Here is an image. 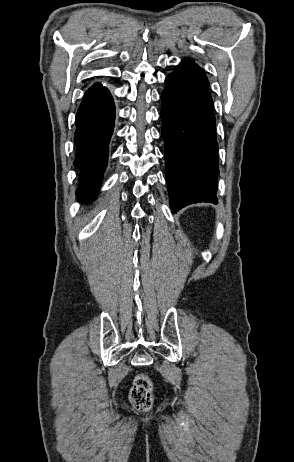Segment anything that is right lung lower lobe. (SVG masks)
I'll list each match as a JSON object with an SVG mask.
<instances>
[{
    "label": "right lung lower lobe",
    "instance_id": "98d812e1",
    "mask_svg": "<svg viewBox=\"0 0 294 462\" xmlns=\"http://www.w3.org/2000/svg\"><path fill=\"white\" fill-rule=\"evenodd\" d=\"M115 104L108 88L95 83L84 94L77 111L74 142L77 147L75 165L81 168L77 198L92 201L108 162V145L113 133Z\"/></svg>",
    "mask_w": 294,
    "mask_h": 462
}]
</instances>
